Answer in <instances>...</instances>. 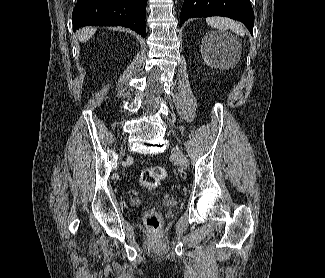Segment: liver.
Wrapping results in <instances>:
<instances>
[{"instance_id": "6515ba94", "label": "liver", "mask_w": 325, "mask_h": 278, "mask_svg": "<svg viewBox=\"0 0 325 278\" xmlns=\"http://www.w3.org/2000/svg\"><path fill=\"white\" fill-rule=\"evenodd\" d=\"M96 32L95 28H84L79 32L78 38L81 42L88 41Z\"/></svg>"}]
</instances>
